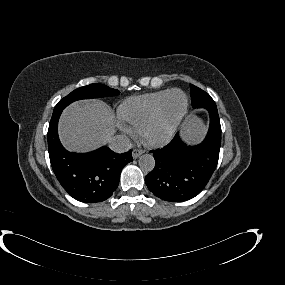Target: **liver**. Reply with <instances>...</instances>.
<instances>
[{
    "label": "liver",
    "mask_w": 285,
    "mask_h": 285,
    "mask_svg": "<svg viewBox=\"0 0 285 285\" xmlns=\"http://www.w3.org/2000/svg\"><path fill=\"white\" fill-rule=\"evenodd\" d=\"M113 111L102 101H79L68 106L59 121V136L70 151L85 152L105 144L114 133ZM204 128L195 117L184 125V135L191 142L198 141Z\"/></svg>",
    "instance_id": "1"
}]
</instances>
